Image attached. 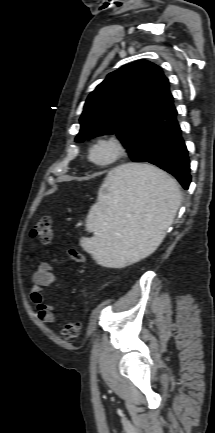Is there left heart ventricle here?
I'll use <instances>...</instances> for the list:
<instances>
[{
    "label": "left heart ventricle",
    "instance_id": "left-heart-ventricle-1",
    "mask_svg": "<svg viewBox=\"0 0 215 433\" xmlns=\"http://www.w3.org/2000/svg\"><path fill=\"white\" fill-rule=\"evenodd\" d=\"M111 154V149L107 146H101L97 148L94 152V158L98 160H105L107 159Z\"/></svg>",
    "mask_w": 215,
    "mask_h": 433
}]
</instances>
